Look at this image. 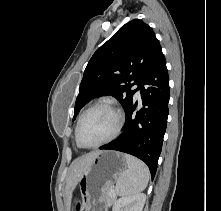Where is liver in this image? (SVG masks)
<instances>
[{
	"label": "liver",
	"instance_id": "6515ba94",
	"mask_svg": "<svg viewBox=\"0 0 221 211\" xmlns=\"http://www.w3.org/2000/svg\"><path fill=\"white\" fill-rule=\"evenodd\" d=\"M98 153L99 152H91L87 155L77 158L72 162L69 168L65 188L68 211L71 207L72 193L76 188L84 169L93 161V159Z\"/></svg>",
	"mask_w": 221,
	"mask_h": 211
}]
</instances>
